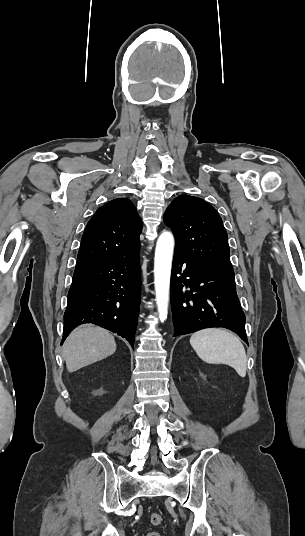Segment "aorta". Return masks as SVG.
I'll list each match as a JSON object with an SVG mask.
<instances>
[{
    "mask_svg": "<svg viewBox=\"0 0 305 536\" xmlns=\"http://www.w3.org/2000/svg\"><path fill=\"white\" fill-rule=\"evenodd\" d=\"M174 236L164 231L158 238L154 258V285L156 304L160 320L167 319L170 277L174 252Z\"/></svg>",
    "mask_w": 305,
    "mask_h": 536,
    "instance_id": "762f6f07",
    "label": "aorta"
}]
</instances>
